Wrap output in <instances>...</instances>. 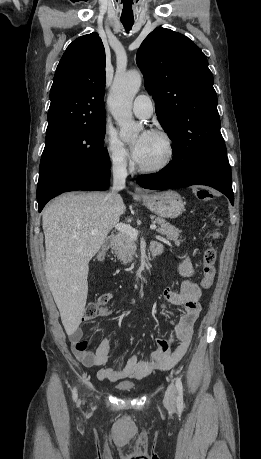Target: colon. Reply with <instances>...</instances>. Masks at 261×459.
I'll list each match as a JSON object with an SVG mask.
<instances>
[{"label":"colon","instance_id":"5ec220e1","mask_svg":"<svg viewBox=\"0 0 261 459\" xmlns=\"http://www.w3.org/2000/svg\"><path fill=\"white\" fill-rule=\"evenodd\" d=\"M197 198L201 200H210L214 195L213 188H198ZM218 236L217 232L212 234L213 238ZM217 252L213 246H209L203 254L202 278L200 285L203 289H209L216 275ZM110 294H103L97 300L90 302L85 310V320H91L97 317L101 309L110 300Z\"/></svg>","mask_w":261,"mask_h":459}]
</instances>
